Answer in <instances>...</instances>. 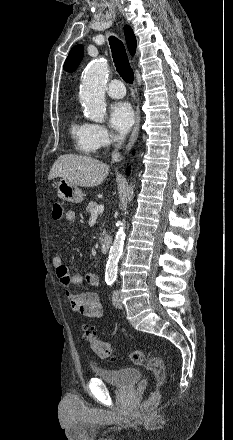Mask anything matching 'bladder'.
<instances>
[{
	"instance_id": "bladder-1",
	"label": "bladder",
	"mask_w": 233,
	"mask_h": 440,
	"mask_svg": "<svg viewBox=\"0 0 233 440\" xmlns=\"http://www.w3.org/2000/svg\"><path fill=\"white\" fill-rule=\"evenodd\" d=\"M92 373L96 378L118 388L133 387L141 379L140 370L131 367L103 369L93 366Z\"/></svg>"
}]
</instances>
